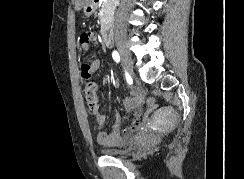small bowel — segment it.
Wrapping results in <instances>:
<instances>
[{
  "instance_id": "small-bowel-1",
  "label": "small bowel",
  "mask_w": 244,
  "mask_h": 179,
  "mask_svg": "<svg viewBox=\"0 0 244 179\" xmlns=\"http://www.w3.org/2000/svg\"><path fill=\"white\" fill-rule=\"evenodd\" d=\"M100 37L97 33L92 31L83 32L79 37V47L84 52H89L91 44H99ZM91 58L81 65L82 77L87 79L92 74L96 73L101 67V61L99 57L92 53ZM126 110L132 111L134 117L130 125L123 130L120 129L121 125V116L116 114L114 121L108 131H100L96 135V141L100 146L103 147H116L123 145L128 136L133 132V130L140 125V115H141V106L140 101L134 97L131 99H126L125 101ZM92 115L94 116L97 126L99 128L103 127L106 123V118L98 108L92 109Z\"/></svg>"
}]
</instances>
